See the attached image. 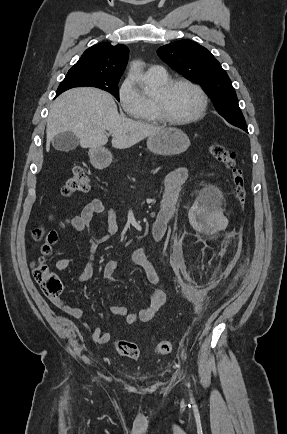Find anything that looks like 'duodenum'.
Segmentation results:
<instances>
[{"label":"duodenum","instance_id":"obj_1","mask_svg":"<svg viewBox=\"0 0 287 434\" xmlns=\"http://www.w3.org/2000/svg\"><path fill=\"white\" fill-rule=\"evenodd\" d=\"M100 163H104V161H99Z\"/></svg>","mask_w":287,"mask_h":434}]
</instances>
